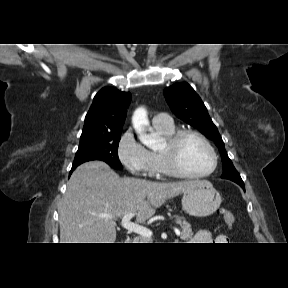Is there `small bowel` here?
<instances>
[{
    "label": "small bowel",
    "mask_w": 288,
    "mask_h": 288,
    "mask_svg": "<svg viewBox=\"0 0 288 288\" xmlns=\"http://www.w3.org/2000/svg\"><path fill=\"white\" fill-rule=\"evenodd\" d=\"M195 243H219V244H225L229 243V238L225 234H218L215 237L212 236V234L208 230H199L194 238Z\"/></svg>",
    "instance_id": "small-bowel-1"
}]
</instances>
